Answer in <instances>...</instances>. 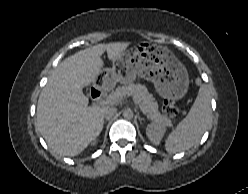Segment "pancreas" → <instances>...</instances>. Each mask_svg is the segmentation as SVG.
<instances>
[{
  "label": "pancreas",
  "mask_w": 248,
  "mask_h": 194,
  "mask_svg": "<svg viewBox=\"0 0 248 194\" xmlns=\"http://www.w3.org/2000/svg\"><path fill=\"white\" fill-rule=\"evenodd\" d=\"M110 96L120 100L124 96H132L136 103L139 105L141 111L147 115V118L153 122L171 126L172 122L166 116L158 111V104L152 94H150L146 86L137 84H127L122 87L116 88L112 91ZM112 104L116 102H111Z\"/></svg>",
  "instance_id": "obj_1"
}]
</instances>
